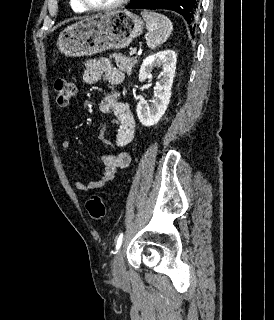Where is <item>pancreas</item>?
Segmentation results:
<instances>
[{"mask_svg": "<svg viewBox=\"0 0 274 320\" xmlns=\"http://www.w3.org/2000/svg\"><path fill=\"white\" fill-rule=\"evenodd\" d=\"M110 58L115 60L118 70L127 72L128 76H130L132 68L137 64V58H127V56H122V54H110Z\"/></svg>", "mask_w": 274, "mask_h": 320, "instance_id": "pancreas-1", "label": "pancreas"}]
</instances>
